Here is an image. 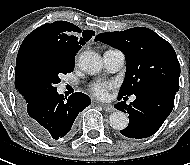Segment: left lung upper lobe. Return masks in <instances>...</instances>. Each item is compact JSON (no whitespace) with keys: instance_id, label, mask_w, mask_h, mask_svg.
Masks as SVG:
<instances>
[{"instance_id":"1","label":"left lung upper lobe","mask_w":190,"mask_h":165,"mask_svg":"<svg viewBox=\"0 0 190 165\" xmlns=\"http://www.w3.org/2000/svg\"><path fill=\"white\" fill-rule=\"evenodd\" d=\"M101 41L121 50L127 71L119 97L152 88L179 90L180 64L173 47L151 29L135 27L125 31L100 33Z\"/></svg>"}]
</instances>
